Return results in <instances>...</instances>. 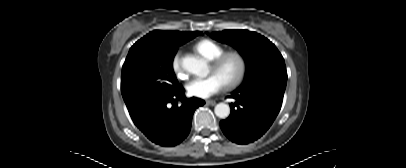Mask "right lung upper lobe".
<instances>
[{
	"mask_svg": "<svg viewBox=\"0 0 406 168\" xmlns=\"http://www.w3.org/2000/svg\"><path fill=\"white\" fill-rule=\"evenodd\" d=\"M202 32H179V31H159L155 30L141 38L136 43H148L162 48L177 47Z\"/></svg>",
	"mask_w": 406,
	"mask_h": 168,
	"instance_id": "1",
	"label": "right lung upper lobe"
}]
</instances>
